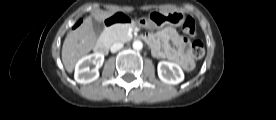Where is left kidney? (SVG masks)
Wrapping results in <instances>:
<instances>
[{
	"mask_svg": "<svg viewBox=\"0 0 276 120\" xmlns=\"http://www.w3.org/2000/svg\"><path fill=\"white\" fill-rule=\"evenodd\" d=\"M157 71L160 80L164 83L176 85L184 80V73L181 67L175 63L160 61Z\"/></svg>",
	"mask_w": 276,
	"mask_h": 120,
	"instance_id": "1",
	"label": "left kidney"
}]
</instances>
